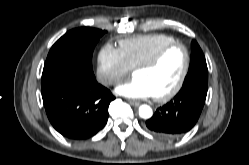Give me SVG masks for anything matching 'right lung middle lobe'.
Segmentation results:
<instances>
[{
  "instance_id": "dd1d6c3e",
  "label": "right lung middle lobe",
  "mask_w": 249,
  "mask_h": 165,
  "mask_svg": "<svg viewBox=\"0 0 249 165\" xmlns=\"http://www.w3.org/2000/svg\"><path fill=\"white\" fill-rule=\"evenodd\" d=\"M103 30L81 27L64 34L50 49L45 66L61 64L82 71L94 78L92 54Z\"/></svg>"
}]
</instances>
